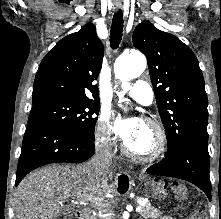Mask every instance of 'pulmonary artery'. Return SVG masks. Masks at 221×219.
I'll use <instances>...</instances> for the list:
<instances>
[{
  "label": "pulmonary artery",
  "mask_w": 221,
  "mask_h": 219,
  "mask_svg": "<svg viewBox=\"0 0 221 219\" xmlns=\"http://www.w3.org/2000/svg\"><path fill=\"white\" fill-rule=\"evenodd\" d=\"M126 94L142 105L148 106L153 101L152 89L148 84L137 81L132 87L125 90Z\"/></svg>",
  "instance_id": "1"
}]
</instances>
